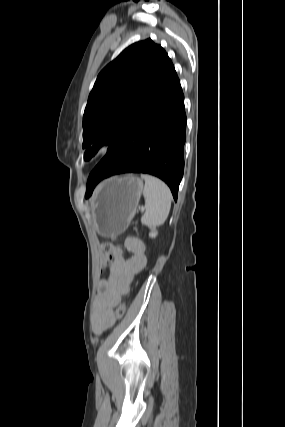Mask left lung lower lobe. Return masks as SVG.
I'll use <instances>...</instances> for the list:
<instances>
[{
  "label": "left lung lower lobe",
  "instance_id": "1",
  "mask_svg": "<svg viewBox=\"0 0 285 427\" xmlns=\"http://www.w3.org/2000/svg\"><path fill=\"white\" fill-rule=\"evenodd\" d=\"M185 130L184 96L171 64L148 104L91 172L85 197L100 180L135 172L165 181L176 200L184 170Z\"/></svg>",
  "mask_w": 285,
  "mask_h": 427
}]
</instances>
